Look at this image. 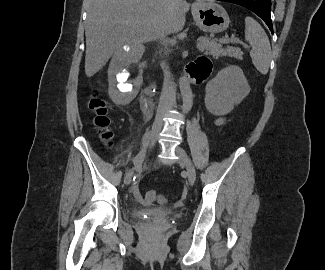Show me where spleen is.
I'll return each instance as SVG.
<instances>
[{"label":"spleen","mask_w":325,"mask_h":270,"mask_svg":"<svg viewBox=\"0 0 325 270\" xmlns=\"http://www.w3.org/2000/svg\"><path fill=\"white\" fill-rule=\"evenodd\" d=\"M245 40L251 45L250 57L255 68L263 75L268 73L271 46L262 26L252 17L245 18Z\"/></svg>","instance_id":"1"}]
</instances>
